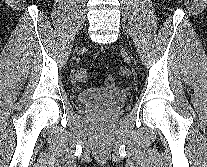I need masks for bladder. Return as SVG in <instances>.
<instances>
[{
	"mask_svg": "<svg viewBox=\"0 0 207 167\" xmlns=\"http://www.w3.org/2000/svg\"><path fill=\"white\" fill-rule=\"evenodd\" d=\"M126 100V92L119 88L87 89L77 95V101L85 107H117L123 105Z\"/></svg>",
	"mask_w": 207,
	"mask_h": 167,
	"instance_id": "1",
	"label": "bladder"
}]
</instances>
